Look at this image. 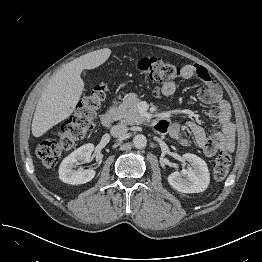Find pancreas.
Wrapping results in <instances>:
<instances>
[{"mask_svg": "<svg viewBox=\"0 0 262 262\" xmlns=\"http://www.w3.org/2000/svg\"><path fill=\"white\" fill-rule=\"evenodd\" d=\"M140 99L135 93H130L123 102L113 109L116 120L121 123L134 125L144 121V115L138 110Z\"/></svg>", "mask_w": 262, "mask_h": 262, "instance_id": "pancreas-1", "label": "pancreas"}]
</instances>
